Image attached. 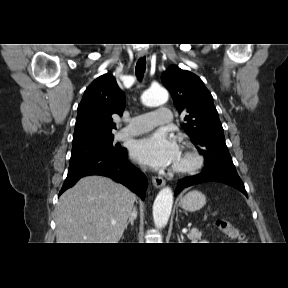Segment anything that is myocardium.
I'll return each mask as SVG.
<instances>
[{
    "label": "myocardium",
    "mask_w": 288,
    "mask_h": 288,
    "mask_svg": "<svg viewBox=\"0 0 288 288\" xmlns=\"http://www.w3.org/2000/svg\"><path fill=\"white\" fill-rule=\"evenodd\" d=\"M202 165L201 155L187 140L182 142L181 161L176 163L174 170L180 173H188L197 170Z\"/></svg>",
    "instance_id": "myocardium-1"
}]
</instances>
